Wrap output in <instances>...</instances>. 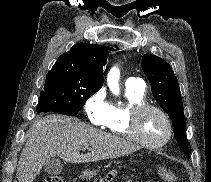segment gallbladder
Listing matches in <instances>:
<instances>
[{"label": "gallbladder", "mask_w": 211, "mask_h": 182, "mask_svg": "<svg viewBox=\"0 0 211 182\" xmlns=\"http://www.w3.org/2000/svg\"><path fill=\"white\" fill-rule=\"evenodd\" d=\"M45 172L50 175H58L62 172L63 165L59 158H50L43 165Z\"/></svg>", "instance_id": "gallbladder-1"}]
</instances>
